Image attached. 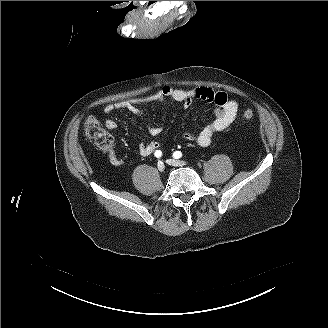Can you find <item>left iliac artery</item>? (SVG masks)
Masks as SVG:
<instances>
[{
    "mask_svg": "<svg viewBox=\"0 0 328 328\" xmlns=\"http://www.w3.org/2000/svg\"><path fill=\"white\" fill-rule=\"evenodd\" d=\"M181 156H182V153H181L180 151H176V152L173 153V157H174L175 159H178V158H180Z\"/></svg>",
    "mask_w": 328,
    "mask_h": 328,
    "instance_id": "obj_1",
    "label": "left iliac artery"
}]
</instances>
